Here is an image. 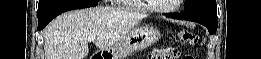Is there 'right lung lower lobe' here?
<instances>
[{
  "mask_svg": "<svg viewBox=\"0 0 261 59\" xmlns=\"http://www.w3.org/2000/svg\"><path fill=\"white\" fill-rule=\"evenodd\" d=\"M97 0H60L38 13V30H42L53 18L63 12L96 6Z\"/></svg>",
  "mask_w": 261,
  "mask_h": 59,
  "instance_id": "right-lung-lower-lobe-1",
  "label": "right lung lower lobe"
}]
</instances>
